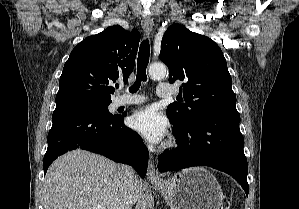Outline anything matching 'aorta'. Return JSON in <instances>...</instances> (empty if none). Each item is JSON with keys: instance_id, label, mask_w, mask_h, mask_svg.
I'll return each instance as SVG.
<instances>
[{"instance_id": "1", "label": "aorta", "mask_w": 299, "mask_h": 209, "mask_svg": "<svg viewBox=\"0 0 299 209\" xmlns=\"http://www.w3.org/2000/svg\"><path fill=\"white\" fill-rule=\"evenodd\" d=\"M168 71L165 65L160 63H153L149 67V76L152 79L160 80L167 76Z\"/></svg>"}]
</instances>
